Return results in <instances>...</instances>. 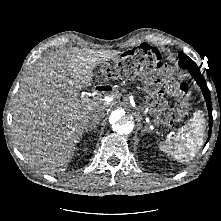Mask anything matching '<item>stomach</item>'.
<instances>
[{"instance_id":"obj_1","label":"stomach","mask_w":221,"mask_h":221,"mask_svg":"<svg viewBox=\"0 0 221 221\" xmlns=\"http://www.w3.org/2000/svg\"><path fill=\"white\" fill-rule=\"evenodd\" d=\"M171 68L164 57H157L146 69L143 90L146 93L147 109L158 126H175L180 114L173 109V99L167 94L171 88Z\"/></svg>"}]
</instances>
